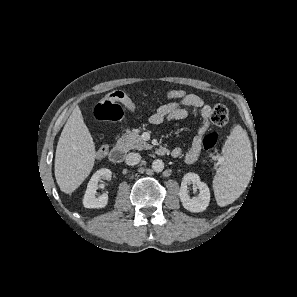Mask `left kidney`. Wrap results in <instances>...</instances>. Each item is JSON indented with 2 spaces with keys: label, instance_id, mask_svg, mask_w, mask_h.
<instances>
[{
  "label": "left kidney",
  "instance_id": "5707ae66",
  "mask_svg": "<svg viewBox=\"0 0 297 297\" xmlns=\"http://www.w3.org/2000/svg\"><path fill=\"white\" fill-rule=\"evenodd\" d=\"M193 183L199 189L197 197L190 198L187 185ZM179 197L182 205L190 212H202L204 211L210 202V190L206 183L200 181V177L196 173L189 172L184 175L181 187L179 190Z\"/></svg>",
  "mask_w": 297,
  "mask_h": 297
}]
</instances>
